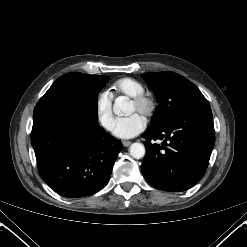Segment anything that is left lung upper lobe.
Segmentation results:
<instances>
[{"label":"left lung upper lobe","instance_id":"left-lung-upper-lobe-1","mask_svg":"<svg viewBox=\"0 0 247 247\" xmlns=\"http://www.w3.org/2000/svg\"><path fill=\"white\" fill-rule=\"evenodd\" d=\"M142 77L154 91L159 102L149 128L161 126L194 108L210 106L200 90L177 73H144Z\"/></svg>","mask_w":247,"mask_h":247}]
</instances>
